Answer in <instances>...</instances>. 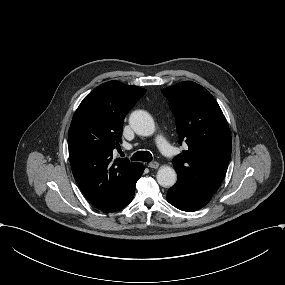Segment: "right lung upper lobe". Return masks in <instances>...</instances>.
<instances>
[{"mask_svg":"<svg viewBox=\"0 0 285 285\" xmlns=\"http://www.w3.org/2000/svg\"><path fill=\"white\" fill-rule=\"evenodd\" d=\"M145 89L109 81L95 88L77 108L69 128L73 175L85 196L99 210L110 212L123 199L144 167L128 159H113L120 147L127 112Z\"/></svg>","mask_w":285,"mask_h":285,"instance_id":"right-lung-upper-lobe-1","label":"right lung upper lobe"}]
</instances>
